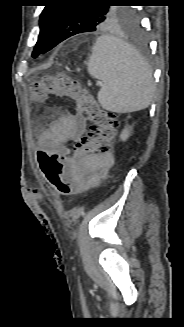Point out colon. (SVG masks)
Wrapping results in <instances>:
<instances>
[{
    "label": "colon",
    "mask_w": 184,
    "mask_h": 327,
    "mask_svg": "<svg viewBox=\"0 0 184 327\" xmlns=\"http://www.w3.org/2000/svg\"><path fill=\"white\" fill-rule=\"evenodd\" d=\"M31 98L36 101L56 97L75 102L78 112L86 115L91 122L87 134L71 148L80 158L105 153L109 150L116 131L118 121L115 115L100 107L87 89L71 77L44 75L34 81L30 88ZM69 152H54L48 154L41 151L38 155L40 168L48 183L62 196L74 193L75 186L67 178V163Z\"/></svg>",
    "instance_id": "colon-1"
}]
</instances>
